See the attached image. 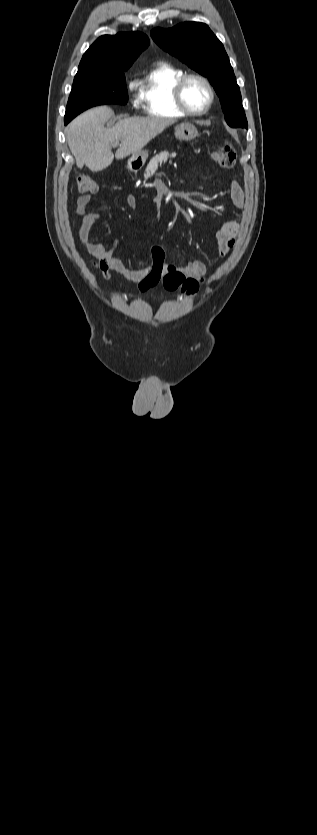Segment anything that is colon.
Returning a JSON list of instances; mask_svg holds the SVG:
<instances>
[{
    "label": "colon",
    "instance_id": "1",
    "mask_svg": "<svg viewBox=\"0 0 317 835\" xmlns=\"http://www.w3.org/2000/svg\"><path fill=\"white\" fill-rule=\"evenodd\" d=\"M214 160L216 163L224 168H230L235 164L236 151L234 146L228 142L220 146L214 152ZM77 190L82 194L96 193L98 185L94 179L88 175H81L77 179ZM162 284L166 290L181 291L188 296H195L199 291V282L193 278H188L178 267L174 265H167L165 273L161 276Z\"/></svg>",
    "mask_w": 317,
    "mask_h": 835
}]
</instances>
